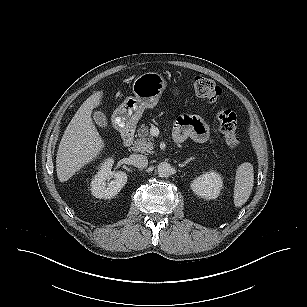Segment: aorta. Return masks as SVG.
Here are the masks:
<instances>
[{"instance_id":"aorta-1","label":"aorta","mask_w":307,"mask_h":307,"mask_svg":"<svg viewBox=\"0 0 307 307\" xmlns=\"http://www.w3.org/2000/svg\"><path fill=\"white\" fill-rule=\"evenodd\" d=\"M158 174L160 177H169L172 174V167L167 162H161L158 165Z\"/></svg>"}]
</instances>
